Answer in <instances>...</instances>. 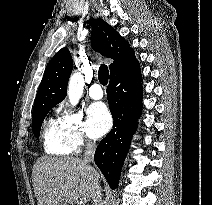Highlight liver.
Masks as SVG:
<instances>
[{"instance_id": "1", "label": "liver", "mask_w": 212, "mask_h": 205, "mask_svg": "<svg viewBox=\"0 0 212 205\" xmlns=\"http://www.w3.org/2000/svg\"><path fill=\"white\" fill-rule=\"evenodd\" d=\"M38 205H75L94 198L98 173L79 158H39L32 171Z\"/></svg>"}]
</instances>
